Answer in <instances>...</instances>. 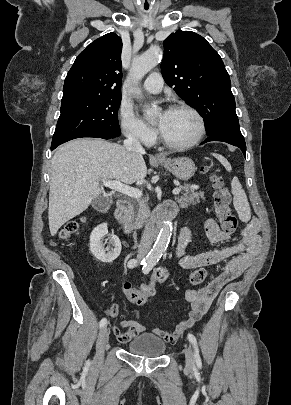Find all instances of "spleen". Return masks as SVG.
<instances>
[{
    "mask_svg": "<svg viewBox=\"0 0 291 405\" xmlns=\"http://www.w3.org/2000/svg\"><path fill=\"white\" fill-rule=\"evenodd\" d=\"M227 171H231L232 167L228 160L220 154H213ZM231 193L233 194V205L241 220L248 221L251 217L250 206L245 191L237 177H234L231 181Z\"/></svg>",
    "mask_w": 291,
    "mask_h": 405,
    "instance_id": "1",
    "label": "spleen"
}]
</instances>
